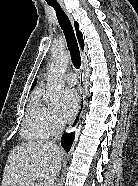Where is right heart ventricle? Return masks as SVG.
<instances>
[{"label":"right heart ventricle","mask_w":138,"mask_h":186,"mask_svg":"<svg viewBox=\"0 0 138 186\" xmlns=\"http://www.w3.org/2000/svg\"><path fill=\"white\" fill-rule=\"evenodd\" d=\"M49 108L41 99L40 93L35 92L26 109L21 126V136L29 142L42 141L50 136L46 125V115Z\"/></svg>","instance_id":"1"}]
</instances>
